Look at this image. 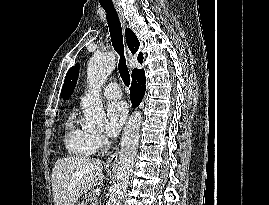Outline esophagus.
Here are the masks:
<instances>
[{
  "mask_svg": "<svg viewBox=\"0 0 269 205\" xmlns=\"http://www.w3.org/2000/svg\"><path fill=\"white\" fill-rule=\"evenodd\" d=\"M116 10H117V13L119 15V18H120V21L123 25V27H125V24H126V20L124 18V15H123V11L120 7H116ZM125 53H126V59L127 61L129 62L130 59L132 58V54L130 52V50L128 49V47L126 46L125 47ZM118 155H119V149H117L109 158H108V161H107V164L109 165H115L118 161Z\"/></svg>",
  "mask_w": 269,
  "mask_h": 205,
  "instance_id": "34e87169",
  "label": "esophagus"
}]
</instances>
